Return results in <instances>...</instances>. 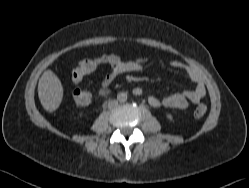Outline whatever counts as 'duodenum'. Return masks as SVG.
Masks as SVG:
<instances>
[{
    "label": "duodenum",
    "instance_id": "1",
    "mask_svg": "<svg viewBox=\"0 0 249 188\" xmlns=\"http://www.w3.org/2000/svg\"><path fill=\"white\" fill-rule=\"evenodd\" d=\"M106 92V89H103V90H101V93H105ZM134 93L136 94V95H139L140 93H141V91H134Z\"/></svg>",
    "mask_w": 249,
    "mask_h": 188
}]
</instances>
